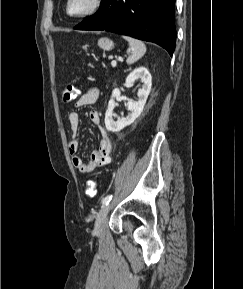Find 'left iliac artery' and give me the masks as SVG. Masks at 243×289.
<instances>
[{
	"mask_svg": "<svg viewBox=\"0 0 243 289\" xmlns=\"http://www.w3.org/2000/svg\"><path fill=\"white\" fill-rule=\"evenodd\" d=\"M112 199V195H107L105 198L102 199V205H107Z\"/></svg>",
	"mask_w": 243,
	"mask_h": 289,
	"instance_id": "left-iliac-artery-1",
	"label": "left iliac artery"
}]
</instances>
